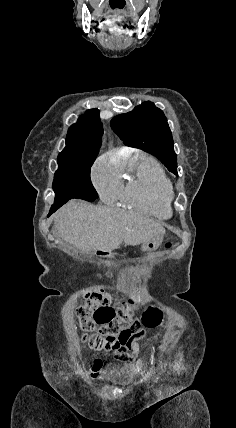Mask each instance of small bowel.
Here are the masks:
<instances>
[{
  "label": "small bowel",
  "mask_w": 236,
  "mask_h": 428,
  "mask_svg": "<svg viewBox=\"0 0 236 428\" xmlns=\"http://www.w3.org/2000/svg\"><path fill=\"white\" fill-rule=\"evenodd\" d=\"M144 331L140 330L136 335L132 336L126 344L116 350V357L128 362L134 360L139 353V341L144 337ZM103 368V361L100 358H96L93 361L91 373L93 376L99 375Z\"/></svg>",
  "instance_id": "c3829d8e"
}]
</instances>
